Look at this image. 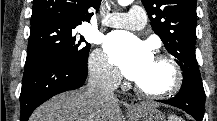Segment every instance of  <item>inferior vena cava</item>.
<instances>
[{
  "mask_svg": "<svg viewBox=\"0 0 217 121\" xmlns=\"http://www.w3.org/2000/svg\"><path fill=\"white\" fill-rule=\"evenodd\" d=\"M118 85V79L106 65H102L89 74L86 93L93 103H103L115 99L114 90Z\"/></svg>",
  "mask_w": 217,
  "mask_h": 121,
  "instance_id": "inferior-vena-cava-1",
  "label": "inferior vena cava"
}]
</instances>
